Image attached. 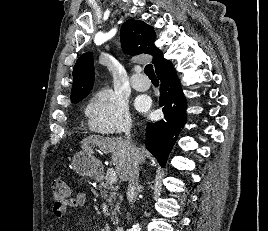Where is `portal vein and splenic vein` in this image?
<instances>
[{
    "mask_svg": "<svg viewBox=\"0 0 268 231\" xmlns=\"http://www.w3.org/2000/svg\"><path fill=\"white\" fill-rule=\"evenodd\" d=\"M106 179L110 184H114L117 182V174L114 168H108L106 172Z\"/></svg>",
    "mask_w": 268,
    "mask_h": 231,
    "instance_id": "1",
    "label": "portal vein and splenic vein"
}]
</instances>
